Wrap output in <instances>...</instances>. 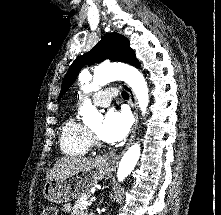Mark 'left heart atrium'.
Returning <instances> with one entry per match:
<instances>
[{"instance_id": "left-heart-atrium-1", "label": "left heart atrium", "mask_w": 221, "mask_h": 215, "mask_svg": "<svg viewBox=\"0 0 221 215\" xmlns=\"http://www.w3.org/2000/svg\"><path fill=\"white\" fill-rule=\"evenodd\" d=\"M130 120L126 113L110 110L99 130L102 140L114 143L122 140L129 132Z\"/></svg>"}]
</instances>
